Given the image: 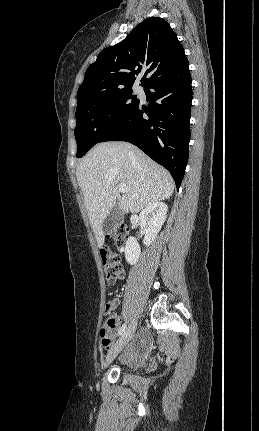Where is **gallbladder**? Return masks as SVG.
Wrapping results in <instances>:
<instances>
[{
	"mask_svg": "<svg viewBox=\"0 0 259 431\" xmlns=\"http://www.w3.org/2000/svg\"><path fill=\"white\" fill-rule=\"evenodd\" d=\"M123 218V211L117 203L102 223L104 234H111L123 222Z\"/></svg>",
	"mask_w": 259,
	"mask_h": 431,
	"instance_id": "obj_1",
	"label": "gallbladder"
}]
</instances>
